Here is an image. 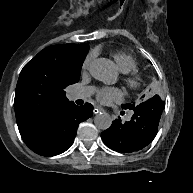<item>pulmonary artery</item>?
Instances as JSON below:
<instances>
[{"label": "pulmonary artery", "mask_w": 193, "mask_h": 193, "mask_svg": "<svg viewBox=\"0 0 193 193\" xmlns=\"http://www.w3.org/2000/svg\"><path fill=\"white\" fill-rule=\"evenodd\" d=\"M94 91L95 87L93 86H81L73 91V95L75 97L82 98L93 94Z\"/></svg>", "instance_id": "e3ab8cb5"}]
</instances>
